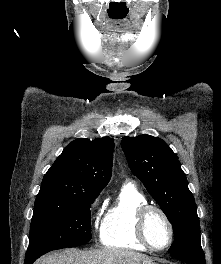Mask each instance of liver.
Returning a JSON list of instances; mask_svg holds the SVG:
<instances>
[{
    "instance_id": "obj_1",
    "label": "liver",
    "mask_w": 221,
    "mask_h": 264,
    "mask_svg": "<svg viewBox=\"0 0 221 264\" xmlns=\"http://www.w3.org/2000/svg\"><path fill=\"white\" fill-rule=\"evenodd\" d=\"M152 260L141 253L124 249L104 248L80 251L66 249L42 257L34 264H149Z\"/></svg>"
}]
</instances>
